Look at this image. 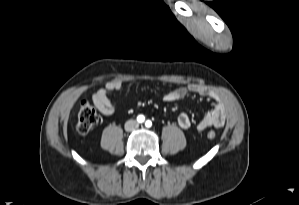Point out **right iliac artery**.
<instances>
[{"label":"right iliac artery","instance_id":"1","mask_svg":"<svg viewBox=\"0 0 299 205\" xmlns=\"http://www.w3.org/2000/svg\"><path fill=\"white\" fill-rule=\"evenodd\" d=\"M144 120H145V117H144L143 115H139V116L137 117V121H138L139 123H143Z\"/></svg>","mask_w":299,"mask_h":205}]
</instances>
